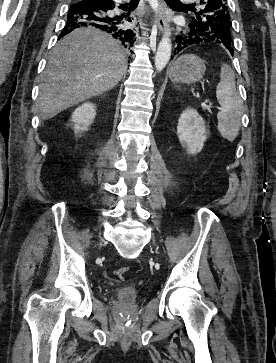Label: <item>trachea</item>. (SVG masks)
I'll return each instance as SVG.
<instances>
[{"label": "trachea", "mask_w": 276, "mask_h": 363, "mask_svg": "<svg viewBox=\"0 0 276 363\" xmlns=\"http://www.w3.org/2000/svg\"><path fill=\"white\" fill-rule=\"evenodd\" d=\"M169 5L186 6L180 0H165ZM139 0H131L132 5H138Z\"/></svg>", "instance_id": "3493384b"}]
</instances>
